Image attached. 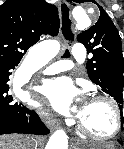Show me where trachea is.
<instances>
[{
    "mask_svg": "<svg viewBox=\"0 0 124 149\" xmlns=\"http://www.w3.org/2000/svg\"><path fill=\"white\" fill-rule=\"evenodd\" d=\"M59 26H60L59 17H56L50 26L49 35L56 36L59 32ZM69 56H70L69 51H66L63 55V57L66 58H68Z\"/></svg>",
    "mask_w": 124,
    "mask_h": 149,
    "instance_id": "obj_1",
    "label": "trachea"
}]
</instances>
